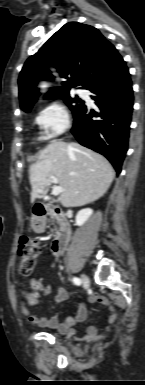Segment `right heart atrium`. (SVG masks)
<instances>
[{
    "instance_id": "1",
    "label": "right heart atrium",
    "mask_w": 145,
    "mask_h": 385,
    "mask_svg": "<svg viewBox=\"0 0 145 385\" xmlns=\"http://www.w3.org/2000/svg\"><path fill=\"white\" fill-rule=\"evenodd\" d=\"M41 138L53 139L63 134L70 125L69 112L66 106L59 102L48 104L35 117Z\"/></svg>"
}]
</instances>
